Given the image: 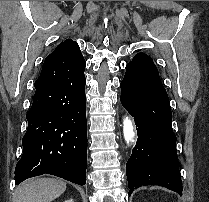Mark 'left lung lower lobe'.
<instances>
[{"instance_id":"0a47b994","label":"left lung lower lobe","mask_w":209,"mask_h":202,"mask_svg":"<svg viewBox=\"0 0 209 202\" xmlns=\"http://www.w3.org/2000/svg\"><path fill=\"white\" fill-rule=\"evenodd\" d=\"M120 86L122 105L138 127L126 164L129 195L142 185H159L182 195L171 107L159 74L128 63Z\"/></svg>"}]
</instances>
